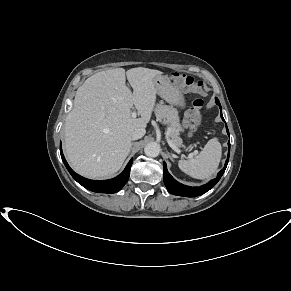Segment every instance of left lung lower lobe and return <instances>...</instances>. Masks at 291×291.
Listing matches in <instances>:
<instances>
[{"instance_id":"0a47b994","label":"left lung lower lobe","mask_w":291,"mask_h":291,"mask_svg":"<svg viewBox=\"0 0 291 291\" xmlns=\"http://www.w3.org/2000/svg\"><path fill=\"white\" fill-rule=\"evenodd\" d=\"M216 99V103L217 105L220 107L221 109V105L220 102L217 98ZM221 118L224 121L223 115H222V111H221ZM226 129H227V133L229 134L227 125H226ZM229 146V151H230V141L228 143ZM229 161V152H228V157L225 163L224 168L218 173L217 177L213 180H211L210 182H208L205 185H202L200 187H189L186 185H183L179 182H177L168 172L167 170V166L166 163L164 162L163 168H164V184L167 188V190L174 195L177 196H184V197H195V196H199L202 195L204 193H206L207 191H209L211 188H213L216 183L220 180V178L222 177L223 173L225 172V169L227 167Z\"/></svg>"}]
</instances>
